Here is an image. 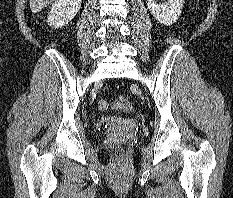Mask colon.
<instances>
[{
  "instance_id": "5ec220e1",
  "label": "colon",
  "mask_w": 233,
  "mask_h": 198,
  "mask_svg": "<svg viewBox=\"0 0 233 198\" xmlns=\"http://www.w3.org/2000/svg\"><path fill=\"white\" fill-rule=\"evenodd\" d=\"M98 107L102 111H108L110 109H116V110L126 112V113H129L132 111V105L127 98H119L113 102H109L105 99H101L98 102ZM116 156L120 160L123 158V156H124L123 148H121V147L117 148Z\"/></svg>"
}]
</instances>
